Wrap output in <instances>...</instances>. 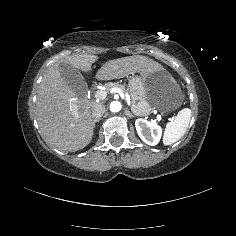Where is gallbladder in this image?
<instances>
[{"label":"gallbladder","instance_id":"obj_1","mask_svg":"<svg viewBox=\"0 0 236 236\" xmlns=\"http://www.w3.org/2000/svg\"><path fill=\"white\" fill-rule=\"evenodd\" d=\"M58 70L62 78L66 81V83L72 90H78V88H85L86 82L84 81L83 76L77 70V68L73 67L70 64H65L64 62H61L59 64Z\"/></svg>","mask_w":236,"mask_h":236}]
</instances>
